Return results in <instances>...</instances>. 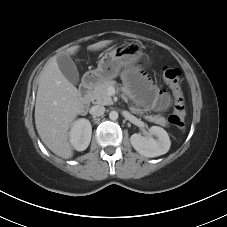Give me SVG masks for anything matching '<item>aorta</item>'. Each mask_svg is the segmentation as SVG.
<instances>
[{
	"instance_id": "aorta-1",
	"label": "aorta",
	"mask_w": 227,
	"mask_h": 227,
	"mask_svg": "<svg viewBox=\"0 0 227 227\" xmlns=\"http://www.w3.org/2000/svg\"><path fill=\"white\" fill-rule=\"evenodd\" d=\"M109 118L113 121L117 120L118 119V112L117 111H111L109 113Z\"/></svg>"
}]
</instances>
